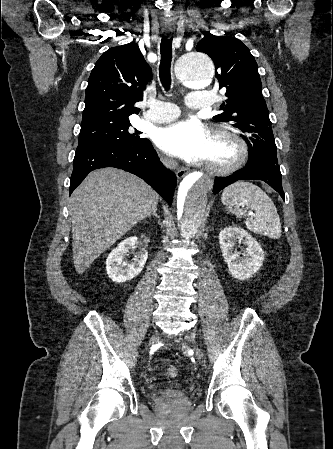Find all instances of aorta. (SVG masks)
Returning a JSON list of instances; mask_svg holds the SVG:
<instances>
[{
  "label": "aorta",
  "instance_id": "obj_1",
  "mask_svg": "<svg viewBox=\"0 0 333 449\" xmlns=\"http://www.w3.org/2000/svg\"><path fill=\"white\" fill-rule=\"evenodd\" d=\"M178 67L179 80L194 89L207 87L215 74L212 60L203 52H191L179 60ZM212 188V178L200 173H190L180 182L176 196L177 215L184 238L190 239L198 232L207 195Z\"/></svg>",
  "mask_w": 333,
  "mask_h": 449
}]
</instances>
